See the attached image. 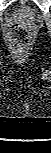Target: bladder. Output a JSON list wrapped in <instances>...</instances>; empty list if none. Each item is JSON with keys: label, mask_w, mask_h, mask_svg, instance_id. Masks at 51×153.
Returning a JSON list of instances; mask_svg holds the SVG:
<instances>
[{"label": "bladder", "mask_w": 51, "mask_h": 153, "mask_svg": "<svg viewBox=\"0 0 51 153\" xmlns=\"http://www.w3.org/2000/svg\"><path fill=\"white\" fill-rule=\"evenodd\" d=\"M16 12L19 16L26 19H36V12L28 6H20L16 8Z\"/></svg>", "instance_id": "bladder-1"}]
</instances>
